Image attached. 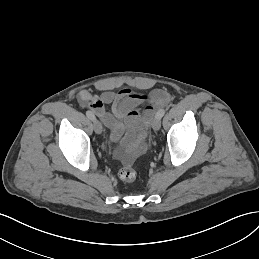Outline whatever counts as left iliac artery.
Listing matches in <instances>:
<instances>
[{
  "label": "left iliac artery",
  "instance_id": "44dca946",
  "mask_svg": "<svg viewBox=\"0 0 259 259\" xmlns=\"http://www.w3.org/2000/svg\"><path fill=\"white\" fill-rule=\"evenodd\" d=\"M165 114V110L164 109H160L157 113H156V116L155 117H158V118H162Z\"/></svg>",
  "mask_w": 259,
  "mask_h": 259
}]
</instances>
